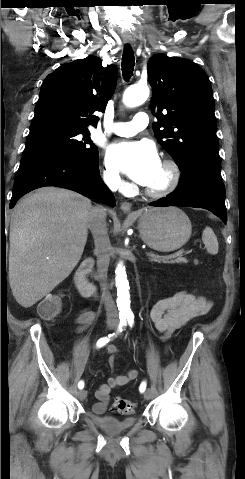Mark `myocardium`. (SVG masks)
Instances as JSON below:
<instances>
[{
	"mask_svg": "<svg viewBox=\"0 0 245 479\" xmlns=\"http://www.w3.org/2000/svg\"><path fill=\"white\" fill-rule=\"evenodd\" d=\"M161 166L167 172L166 182L158 188L147 187L145 193L152 198H163L171 194L180 183L181 173L178 165L169 159L162 161Z\"/></svg>",
	"mask_w": 245,
	"mask_h": 479,
	"instance_id": "f54148a6",
	"label": "myocardium"
}]
</instances>
